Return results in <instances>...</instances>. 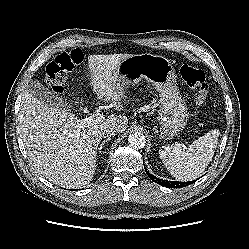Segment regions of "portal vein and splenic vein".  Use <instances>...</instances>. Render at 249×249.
<instances>
[{
  "label": "portal vein and splenic vein",
  "mask_w": 249,
  "mask_h": 249,
  "mask_svg": "<svg viewBox=\"0 0 249 249\" xmlns=\"http://www.w3.org/2000/svg\"><path fill=\"white\" fill-rule=\"evenodd\" d=\"M104 119L103 115L100 113H95L92 116L86 117L82 120H80V125H92V124H98L100 121ZM81 126V127H82Z\"/></svg>",
  "instance_id": "portal-vein-and-splenic-vein-1"
}]
</instances>
